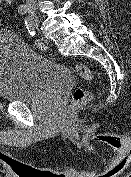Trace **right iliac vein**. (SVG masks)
<instances>
[{"mask_svg":"<svg viewBox=\"0 0 131 177\" xmlns=\"http://www.w3.org/2000/svg\"><path fill=\"white\" fill-rule=\"evenodd\" d=\"M31 12L33 13V11H31ZM34 21L36 24L38 23V19L36 17L34 18Z\"/></svg>","mask_w":131,"mask_h":177,"instance_id":"right-iliac-vein-1","label":"right iliac vein"}]
</instances>
